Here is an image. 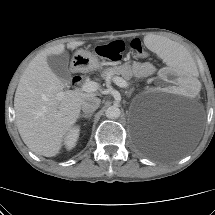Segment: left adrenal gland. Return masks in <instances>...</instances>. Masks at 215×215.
Listing matches in <instances>:
<instances>
[{"label": "left adrenal gland", "instance_id": "left-adrenal-gland-1", "mask_svg": "<svg viewBox=\"0 0 215 215\" xmlns=\"http://www.w3.org/2000/svg\"><path fill=\"white\" fill-rule=\"evenodd\" d=\"M132 92H133V89L127 92V97H131Z\"/></svg>", "mask_w": 215, "mask_h": 215}]
</instances>
